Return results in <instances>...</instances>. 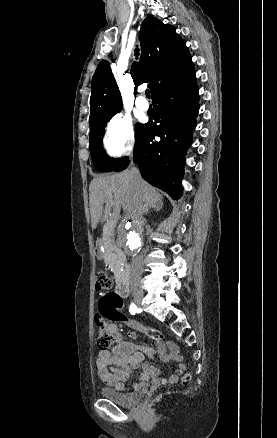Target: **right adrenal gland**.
I'll return each instance as SVG.
<instances>
[{"label":"right adrenal gland","instance_id":"1","mask_svg":"<svg viewBox=\"0 0 277 438\" xmlns=\"http://www.w3.org/2000/svg\"><path fill=\"white\" fill-rule=\"evenodd\" d=\"M162 208H163L162 202H157L155 206H151V208H146L145 214H148V212H160Z\"/></svg>","mask_w":277,"mask_h":438}]
</instances>
